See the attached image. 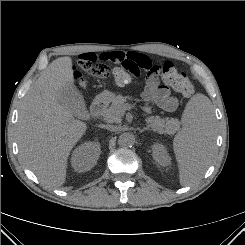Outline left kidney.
Returning <instances> with one entry per match:
<instances>
[{
  "label": "left kidney",
  "instance_id": "left-kidney-1",
  "mask_svg": "<svg viewBox=\"0 0 245 245\" xmlns=\"http://www.w3.org/2000/svg\"><path fill=\"white\" fill-rule=\"evenodd\" d=\"M152 156L153 159L162 166L170 164L171 158L162 144L156 143L153 145Z\"/></svg>",
  "mask_w": 245,
  "mask_h": 245
}]
</instances>
